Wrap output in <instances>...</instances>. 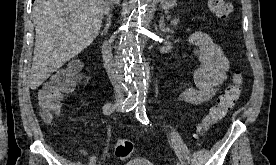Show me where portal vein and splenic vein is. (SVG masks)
Masks as SVG:
<instances>
[{"mask_svg": "<svg viewBox=\"0 0 276 165\" xmlns=\"http://www.w3.org/2000/svg\"><path fill=\"white\" fill-rule=\"evenodd\" d=\"M177 23H178V19H174V20L171 21V24H172V25H175V24H177Z\"/></svg>", "mask_w": 276, "mask_h": 165, "instance_id": "portal-vein-and-splenic-vein-1", "label": "portal vein and splenic vein"}]
</instances>
